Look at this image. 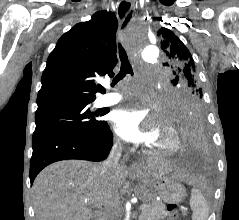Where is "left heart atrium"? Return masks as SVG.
I'll use <instances>...</instances> for the list:
<instances>
[{
	"mask_svg": "<svg viewBox=\"0 0 239 220\" xmlns=\"http://www.w3.org/2000/svg\"><path fill=\"white\" fill-rule=\"evenodd\" d=\"M145 105V101L139 99L134 108L119 110L113 115L115 131L124 140L149 143L152 139L157 127V115L146 110Z\"/></svg>",
	"mask_w": 239,
	"mask_h": 220,
	"instance_id": "obj_1",
	"label": "left heart atrium"
}]
</instances>
